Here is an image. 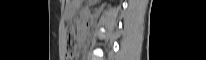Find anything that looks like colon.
I'll use <instances>...</instances> for the list:
<instances>
[{
    "instance_id": "5ec220e1",
    "label": "colon",
    "mask_w": 206,
    "mask_h": 60,
    "mask_svg": "<svg viewBox=\"0 0 206 60\" xmlns=\"http://www.w3.org/2000/svg\"><path fill=\"white\" fill-rule=\"evenodd\" d=\"M66 44H67V54H66L67 60H73L76 40H75L74 28L72 25H68L66 28Z\"/></svg>"
}]
</instances>
